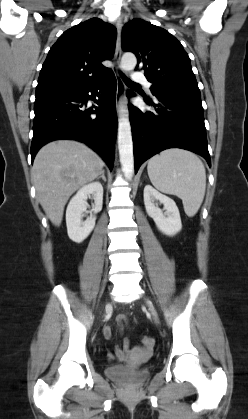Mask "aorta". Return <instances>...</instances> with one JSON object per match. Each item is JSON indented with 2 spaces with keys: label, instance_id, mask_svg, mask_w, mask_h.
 I'll return each instance as SVG.
<instances>
[{
  "label": "aorta",
  "instance_id": "aorta-1",
  "mask_svg": "<svg viewBox=\"0 0 248 419\" xmlns=\"http://www.w3.org/2000/svg\"><path fill=\"white\" fill-rule=\"evenodd\" d=\"M136 64V56L133 53H125L120 67L125 71H130L135 68ZM118 149L124 176L130 180L134 174V156L129 112L125 106L120 107L118 114Z\"/></svg>",
  "mask_w": 248,
  "mask_h": 419
}]
</instances>
